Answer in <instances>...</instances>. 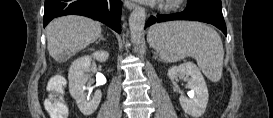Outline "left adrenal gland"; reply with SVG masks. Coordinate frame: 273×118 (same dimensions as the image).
<instances>
[{
  "label": "left adrenal gland",
  "mask_w": 273,
  "mask_h": 118,
  "mask_svg": "<svg viewBox=\"0 0 273 118\" xmlns=\"http://www.w3.org/2000/svg\"><path fill=\"white\" fill-rule=\"evenodd\" d=\"M154 55H155V58H157V54H156V53H154Z\"/></svg>",
  "instance_id": "left-adrenal-gland-1"
}]
</instances>
